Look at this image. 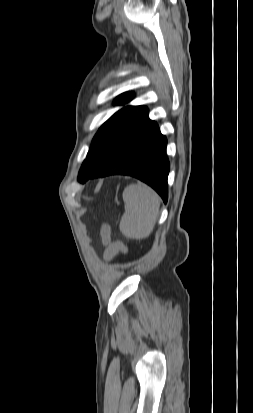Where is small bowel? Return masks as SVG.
<instances>
[{
  "instance_id": "small-bowel-1",
  "label": "small bowel",
  "mask_w": 253,
  "mask_h": 413,
  "mask_svg": "<svg viewBox=\"0 0 253 413\" xmlns=\"http://www.w3.org/2000/svg\"><path fill=\"white\" fill-rule=\"evenodd\" d=\"M103 242L105 245L104 258L107 261L112 260L119 253H126L127 248L121 242H111L109 238V232L107 228H103L102 231Z\"/></svg>"
}]
</instances>
